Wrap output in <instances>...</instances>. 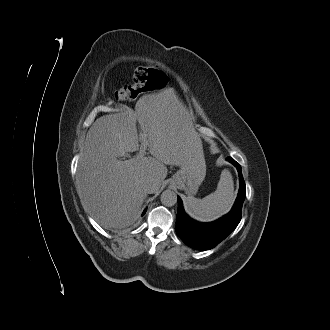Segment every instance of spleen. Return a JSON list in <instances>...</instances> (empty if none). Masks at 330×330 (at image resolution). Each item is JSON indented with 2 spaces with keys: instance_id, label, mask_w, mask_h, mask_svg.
<instances>
[{
  "instance_id": "spleen-1",
  "label": "spleen",
  "mask_w": 330,
  "mask_h": 330,
  "mask_svg": "<svg viewBox=\"0 0 330 330\" xmlns=\"http://www.w3.org/2000/svg\"><path fill=\"white\" fill-rule=\"evenodd\" d=\"M234 203V183L231 173L221 172L217 189L202 199L188 196L184 199L186 213L195 220L211 222L228 213Z\"/></svg>"
}]
</instances>
